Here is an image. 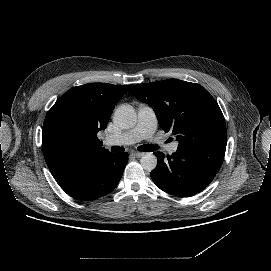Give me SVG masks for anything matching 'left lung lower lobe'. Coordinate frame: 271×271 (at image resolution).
<instances>
[{"mask_svg": "<svg viewBox=\"0 0 271 271\" xmlns=\"http://www.w3.org/2000/svg\"><path fill=\"white\" fill-rule=\"evenodd\" d=\"M225 149L218 145L178 146L177 152L167 158L156 152L158 162L151 178L158 188L169 194L180 197L197 194L215 177Z\"/></svg>", "mask_w": 271, "mask_h": 271, "instance_id": "1", "label": "left lung lower lobe"}]
</instances>
